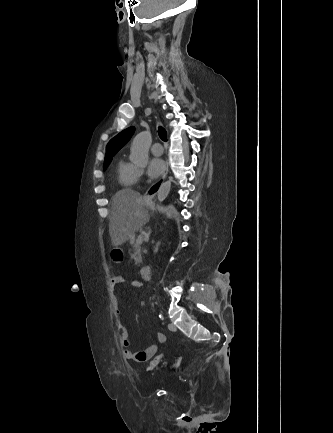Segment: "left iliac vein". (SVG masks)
Returning a JSON list of instances; mask_svg holds the SVG:
<instances>
[{
    "label": "left iliac vein",
    "instance_id": "obj_1",
    "mask_svg": "<svg viewBox=\"0 0 333 433\" xmlns=\"http://www.w3.org/2000/svg\"><path fill=\"white\" fill-rule=\"evenodd\" d=\"M168 328H169V330H171V331H176V326L174 325V323H169V324H168Z\"/></svg>",
    "mask_w": 333,
    "mask_h": 433
}]
</instances>
